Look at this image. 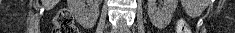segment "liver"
I'll use <instances>...</instances> for the list:
<instances>
[{
  "label": "liver",
  "mask_w": 235,
  "mask_h": 33,
  "mask_svg": "<svg viewBox=\"0 0 235 33\" xmlns=\"http://www.w3.org/2000/svg\"><path fill=\"white\" fill-rule=\"evenodd\" d=\"M57 3V1L54 0H43L42 4L46 7V9H51L54 7V5Z\"/></svg>",
  "instance_id": "obj_1"
}]
</instances>
